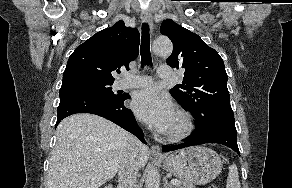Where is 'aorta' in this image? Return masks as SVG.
Instances as JSON below:
<instances>
[{
	"label": "aorta",
	"instance_id": "1",
	"mask_svg": "<svg viewBox=\"0 0 292 188\" xmlns=\"http://www.w3.org/2000/svg\"><path fill=\"white\" fill-rule=\"evenodd\" d=\"M152 49L156 55L169 56L173 51V45L167 38H158L153 42ZM145 187L159 188V172L156 168H151L147 172Z\"/></svg>",
	"mask_w": 292,
	"mask_h": 188
}]
</instances>
